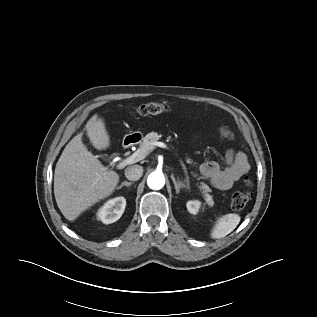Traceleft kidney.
I'll use <instances>...</instances> for the list:
<instances>
[{"label":"left kidney","instance_id":"obj_1","mask_svg":"<svg viewBox=\"0 0 317 317\" xmlns=\"http://www.w3.org/2000/svg\"><path fill=\"white\" fill-rule=\"evenodd\" d=\"M186 207L191 214L196 215L201 209V202L198 200H190L187 202Z\"/></svg>","mask_w":317,"mask_h":317}]
</instances>
